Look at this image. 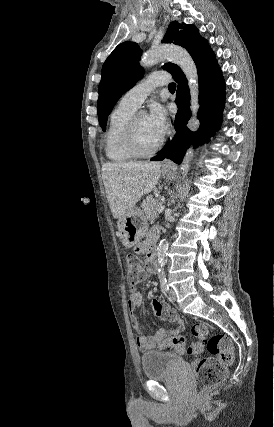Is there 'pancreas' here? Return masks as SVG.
Wrapping results in <instances>:
<instances>
[{
  "label": "pancreas",
  "mask_w": 274,
  "mask_h": 427,
  "mask_svg": "<svg viewBox=\"0 0 274 427\" xmlns=\"http://www.w3.org/2000/svg\"><path fill=\"white\" fill-rule=\"evenodd\" d=\"M163 202H160V200H155V198H152V196H148L146 200H144L141 208H143V212L146 215V219H149V221H153L155 217H158L157 210L162 206Z\"/></svg>",
  "instance_id": "pancreas-1"
}]
</instances>
